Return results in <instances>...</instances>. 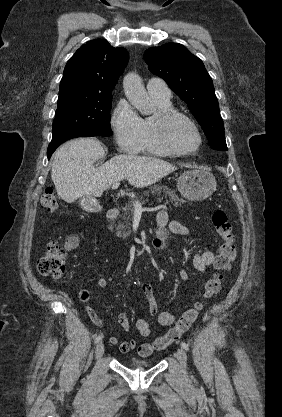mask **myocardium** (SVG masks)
Segmentation results:
<instances>
[{"label": "myocardium", "instance_id": "f54148a6", "mask_svg": "<svg viewBox=\"0 0 282 417\" xmlns=\"http://www.w3.org/2000/svg\"><path fill=\"white\" fill-rule=\"evenodd\" d=\"M174 121L183 122L195 134L198 140L196 148L201 144L202 137L196 125L190 118L175 109H159L152 117V126L160 143L173 154L188 155L193 153L195 149L190 150L179 147L169 138L168 130Z\"/></svg>", "mask_w": 282, "mask_h": 417}]
</instances>
